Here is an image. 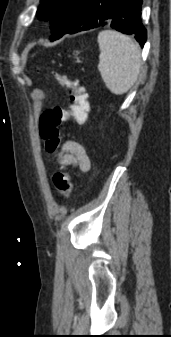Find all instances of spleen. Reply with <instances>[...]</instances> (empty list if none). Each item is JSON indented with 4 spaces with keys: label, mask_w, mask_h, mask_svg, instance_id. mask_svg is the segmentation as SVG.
<instances>
[{
    "label": "spleen",
    "mask_w": 171,
    "mask_h": 337,
    "mask_svg": "<svg viewBox=\"0 0 171 337\" xmlns=\"http://www.w3.org/2000/svg\"><path fill=\"white\" fill-rule=\"evenodd\" d=\"M98 70L106 87L122 95L134 85L141 68L139 46L131 38L113 30L98 35Z\"/></svg>",
    "instance_id": "1"
}]
</instances>
